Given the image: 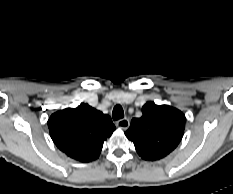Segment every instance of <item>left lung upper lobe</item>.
<instances>
[{
    "mask_svg": "<svg viewBox=\"0 0 233 194\" xmlns=\"http://www.w3.org/2000/svg\"><path fill=\"white\" fill-rule=\"evenodd\" d=\"M141 118H134L125 132L137 153L145 160L155 161L173 151L182 139L185 116L179 110L147 102Z\"/></svg>",
    "mask_w": 233,
    "mask_h": 194,
    "instance_id": "obj_1",
    "label": "left lung upper lobe"
}]
</instances>
